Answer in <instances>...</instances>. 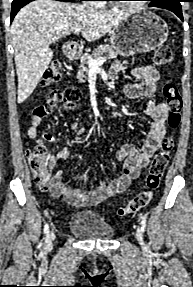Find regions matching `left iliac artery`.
<instances>
[{"instance_id":"44dca946","label":"left iliac artery","mask_w":193,"mask_h":287,"mask_svg":"<svg viewBox=\"0 0 193 287\" xmlns=\"http://www.w3.org/2000/svg\"><path fill=\"white\" fill-rule=\"evenodd\" d=\"M139 219H140V224H141V230L144 232L145 229H146V221H145V218L143 216H139Z\"/></svg>"}]
</instances>
